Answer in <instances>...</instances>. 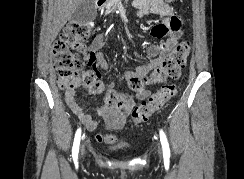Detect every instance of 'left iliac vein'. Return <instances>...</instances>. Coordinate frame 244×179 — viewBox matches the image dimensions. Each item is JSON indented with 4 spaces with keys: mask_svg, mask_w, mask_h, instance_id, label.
Returning <instances> with one entry per match:
<instances>
[{
    "mask_svg": "<svg viewBox=\"0 0 244 179\" xmlns=\"http://www.w3.org/2000/svg\"><path fill=\"white\" fill-rule=\"evenodd\" d=\"M158 149H159V154H162L161 146H159Z\"/></svg>",
    "mask_w": 244,
    "mask_h": 179,
    "instance_id": "left-iliac-vein-1",
    "label": "left iliac vein"
}]
</instances>
